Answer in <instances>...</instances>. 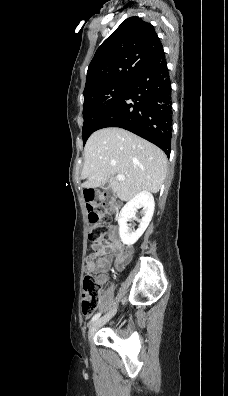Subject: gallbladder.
<instances>
[{
  "label": "gallbladder",
  "mask_w": 228,
  "mask_h": 396,
  "mask_svg": "<svg viewBox=\"0 0 228 396\" xmlns=\"http://www.w3.org/2000/svg\"><path fill=\"white\" fill-rule=\"evenodd\" d=\"M101 188L104 189V190H109L110 186H109V184H104V185H102Z\"/></svg>",
  "instance_id": "gallbladder-1"
}]
</instances>
